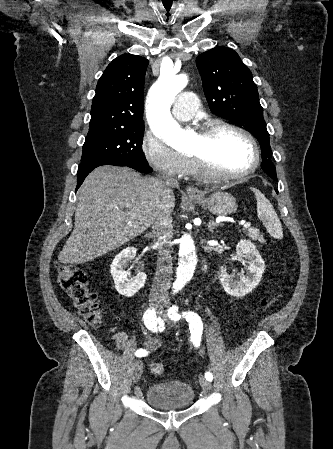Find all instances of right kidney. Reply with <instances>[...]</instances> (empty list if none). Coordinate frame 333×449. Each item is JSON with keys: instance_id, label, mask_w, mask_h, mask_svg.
I'll return each instance as SVG.
<instances>
[{"instance_id": "1", "label": "right kidney", "mask_w": 333, "mask_h": 449, "mask_svg": "<svg viewBox=\"0 0 333 449\" xmlns=\"http://www.w3.org/2000/svg\"><path fill=\"white\" fill-rule=\"evenodd\" d=\"M136 256V249L128 247L118 253L111 264V275L114 280L115 289L120 295L125 297L134 296L145 284L147 275L139 272L134 278L128 277L125 268L129 261Z\"/></svg>"}]
</instances>
